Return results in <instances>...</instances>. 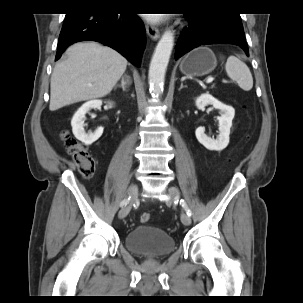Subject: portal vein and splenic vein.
Masks as SVG:
<instances>
[{"label": "portal vein and splenic vein", "instance_id": "obj_1", "mask_svg": "<svg viewBox=\"0 0 303 303\" xmlns=\"http://www.w3.org/2000/svg\"><path fill=\"white\" fill-rule=\"evenodd\" d=\"M213 80H214L213 77H209V78L206 80V82H207V83H211V82H213Z\"/></svg>", "mask_w": 303, "mask_h": 303}]
</instances>
